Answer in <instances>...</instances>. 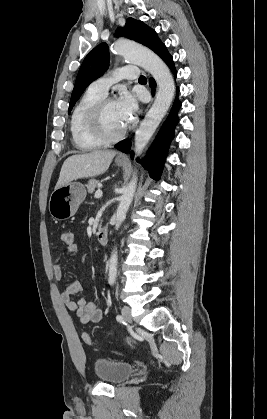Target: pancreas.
<instances>
[{
  "instance_id": "cf45deb5",
  "label": "pancreas",
  "mask_w": 267,
  "mask_h": 419,
  "mask_svg": "<svg viewBox=\"0 0 267 419\" xmlns=\"http://www.w3.org/2000/svg\"><path fill=\"white\" fill-rule=\"evenodd\" d=\"M98 185H100V182L98 180H96V179H90L88 181V184L86 185L87 186V189H88V192L89 193H93L95 191V188Z\"/></svg>"
}]
</instances>
